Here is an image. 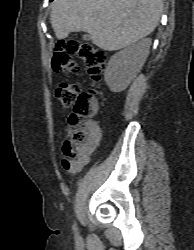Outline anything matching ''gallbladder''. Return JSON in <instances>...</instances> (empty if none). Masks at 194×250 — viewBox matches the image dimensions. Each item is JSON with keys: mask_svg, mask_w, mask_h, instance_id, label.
Here are the masks:
<instances>
[{"mask_svg": "<svg viewBox=\"0 0 194 250\" xmlns=\"http://www.w3.org/2000/svg\"><path fill=\"white\" fill-rule=\"evenodd\" d=\"M82 37H83L84 40H90L91 39L90 35H87V34H84Z\"/></svg>", "mask_w": 194, "mask_h": 250, "instance_id": "gallbladder-1", "label": "gallbladder"}]
</instances>
